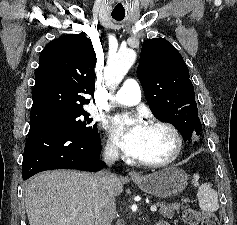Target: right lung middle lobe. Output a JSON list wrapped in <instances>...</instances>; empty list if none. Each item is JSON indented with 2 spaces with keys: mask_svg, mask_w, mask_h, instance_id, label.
<instances>
[{
  "mask_svg": "<svg viewBox=\"0 0 237 225\" xmlns=\"http://www.w3.org/2000/svg\"><path fill=\"white\" fill-rule=\"evenodd\" d=\"M93 119L84 110L73 113L53 116L44 120L30 123L31 126H45L71 132L80 136L98 135L96 124H92Z\"/></svg>",
  "mask_w": 237,
  "mask_h": 225,
  "instance_id": "obj_1",
  "label": "right lung middle lobe"
}]
</instances>
